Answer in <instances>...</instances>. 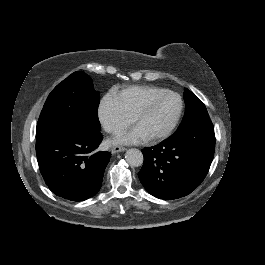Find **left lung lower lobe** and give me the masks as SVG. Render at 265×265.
Returning a JSON list of instances; mask_svg holds the SVG:
<instances>
[{
  "label": "left lung lower lobe",
  "mask_w": 265,
  "mask_h": 265,
  "mask_svg": "<svg viewBox=\"0 0 265 265\" xmlns=\"http://www.w3.org/2000/svg\"><path fill=\"white\" fill-rule=\"evenodd\" d=\"M214 151L215 134L211 119L200 120L177 129L158 145L144 148L139 179L144 188L159 199L186 196L206 177Z\"/></svg>",
  "instance_id": "obj_1"
}]
</instances>
